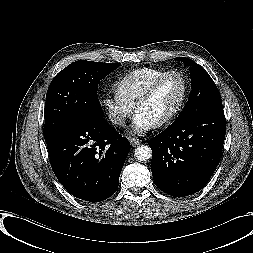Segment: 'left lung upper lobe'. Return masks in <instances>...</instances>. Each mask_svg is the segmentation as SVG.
Instances as JSON below:
<instances>
[{
    "label": "left lung upper lobe",
    "instance_id": "left-lung-upper-lobe-1",
    "mask_svg": "<svg viewBox=\"0 0 253 253\" xmlns=\"http://www.w3.org/2000/svg\"><path fill=\"white\" fill-rule=\"evenodd\" d=\"M175 59L190 67L192 91L186 106L174 123L222 106L219 90L209 74L189 58L177 57Z\"/></svg>",
    "mask_w": 253,
    "mask_h": 253
}]
</instances>
